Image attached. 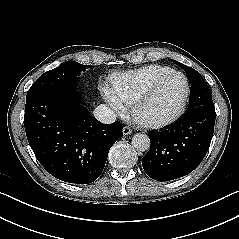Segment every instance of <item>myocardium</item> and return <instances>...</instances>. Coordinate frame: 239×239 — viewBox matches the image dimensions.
I'll return each instance as SVG.
<instances>
[{
	"mask_svg": "<svg viewBox=\"0 0 239 239\" xmlns=\"http://www.w3.org/2000/svg\"><path fill=\"white\" fill-rule=\"evenodd\" d=\"M171 76H180L184 80L185 91L177 109L167 118L159 120H148L141 117L140 112L143 105L154 93L158 86ZM190 96V84L187 76L181 71L171 70L157 77L135 100L132 107V117L135 122L143 127L150 129L166 128L176 123L184 114Z\"/></svg>",
	"mask_w": 239,
	"mask_h": 239,
	"instance_id": "1",
	"label": "myocardium"
}]
</instances>
